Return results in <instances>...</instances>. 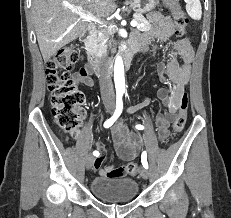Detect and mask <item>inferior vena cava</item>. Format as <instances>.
Returning a JSON list of instances; mask_svg holds the SVG:
<instances>
[{
  "instance_id": "1",
  "label": "inferior vena cava",
  "mask_w": 231,
  "mask_h": 218,
  "mask_svg": "<svg viewBox=\"0 0 231 218\" xmlns=\"http://www.w3.org/2000/svg\"><path fill=\"white\" fill-rule=\"evenodd\" d=\"M100 89L102 98L105 100H114V89L111 80V73L108 62L102 61L100 66Z\"/></svg>"
}]
</instances>
